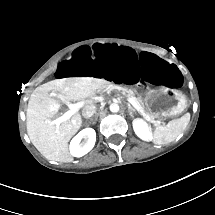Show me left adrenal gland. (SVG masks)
<instances>
[{
  "label": "left adrenal gland",
  "instance_id": "1",
  "mask_svg": "<svg viewBox=\"0 0 215 215\" xmlns=\"http://www.w3.org/2000/svg\"><path fill=\"white\" fill-rule=\"evenodd\" d=\"M128 110H129L128 114H129L131 117H134V115H133L132 112H133V111L136 112V110H135L134 108H132V106H130V105H129V107H128Z\"/></svg>",
  "mask_w": 215,
  "mask_h": 215
}]
</instances>
